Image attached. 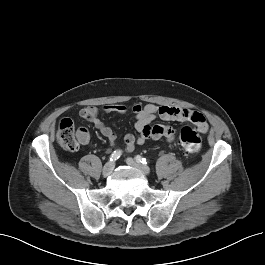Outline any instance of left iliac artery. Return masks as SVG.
Segmentation results:
<instances>
[{
    "mask_svg": "<svg viewBox=\"0 0 265 265\" xmlns=\"http://www.w3.org/2000/svg\"><path fill=\"white\" fill-rule=\"evenodd\" d=\"M135 159H136V161H137L138 163H142V164H147V163H148L147 159H146V158H143V157L140 156V155H137V156L135 157Z\"/></svg>",
    "mask_w": 265,
    "mask_h": 265,
    "instance_id": "1",
    "label": "left iliac artery"
}]
</instances>
